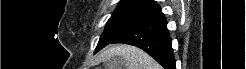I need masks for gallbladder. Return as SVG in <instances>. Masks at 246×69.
<instances>
[{
	"instance_id": "bac80fb5",
	"label": "gallbladder",
	"mask_w": 246,
	"mask_h": 69,
	"mask_svg": "<svg viewBox=\"0 0 246 69\" xmlns=\"http://www.w3.org/2000/svg\"><path fill=\"white\" fill-rule=\"evenodd\" d=\"M120 61V57L113 56L110 60H108L105 64V69H117L120 67L118 63Z\"/></svg>"
}]
</instances>
